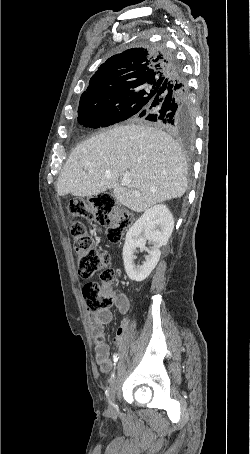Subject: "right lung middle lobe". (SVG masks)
<instances>
[{
	"label": "right lung middle lobe",
	"instance_id": "dd1d6c3e",
	"mask_svg": "<svg viewBox=\"0 0 250 454\" xmlns=\"http://www.w3.org/2000/svg\"><path fill=\"white\" fill-rule=\"evenodd\" d=\"M159 88V84L149 83L113 100L79 105L78 122L85 127L99 128L137 116L152 102Z\"/></svg>",
	"mask_w": 250,
	"mask_h": 454
}]
</instances>
